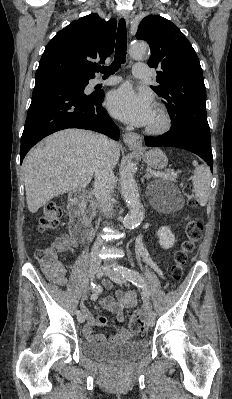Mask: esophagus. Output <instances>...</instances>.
<instances>
[{"label":"esophagus","instance_id":"1","mask_svg":"<svg viewBox=\"0 0 232 399\" xmlns=\"http://www.w3.org/2000/svg\"><path fill=\"white\" fill-rule=\"evenodd\" d=\"M120 18H123L128 23L130 12L129 10H121L119 12ZM123 140L128 147L137 149L142 146V137L135 132H127L123 135Z\"/></svg>","mask_w":232,"mask_h":399}]
</instances>
